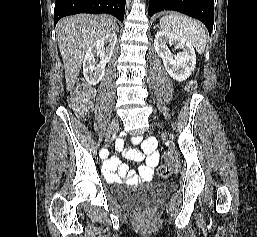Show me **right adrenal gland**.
I'll return each instance as SVG.
<instances>
[{"label":"right adrenal gland","mask_w":257,"mask_h":237,"mask_svg":"<svg viewBox=\"0 0 257 237\" xmlns=\"http://www.w3.org/2000/svg\"><path fill=\"white\" fill-rule=\"evenodd\" d=\"M116 31H117V32H119V29H118V27H117Z\"/></svg>","instance_id":"obj_1"}]
</instances>
